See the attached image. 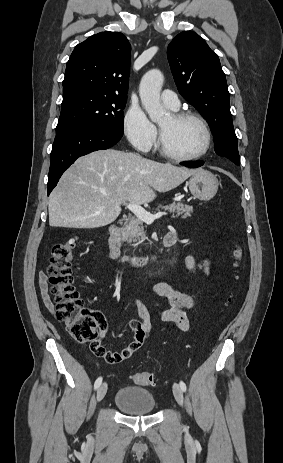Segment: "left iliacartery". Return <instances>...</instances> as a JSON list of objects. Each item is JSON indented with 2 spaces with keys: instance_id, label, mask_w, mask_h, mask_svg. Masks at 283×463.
I'll use <instances>...</instances> for the list:
<instances>
[{
  "instance_id": "1",
  "label": "left iliac artery",
  "mask_w": 283,
  "mask_h": 463,
  "mask_svg": "<svg viewBox=\"0 0 283 463\" xmlns=\"http://www.w3.org/2000/svg\"><path fill=\"white\" fill-rule=\"evenodd\" d=\"M179 385H180L182 391L185 392V391H186V384H185L183 381H180V384H179Z\"/></svg>"
}]
</instances>
